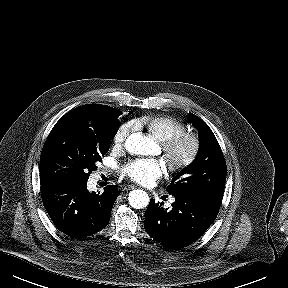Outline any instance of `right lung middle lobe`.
<instances>
[{
    "label": "right lung middle lobe",
    "mask_w": 288,
    "mask_h": 288,
    "mask_svg": "<svg viewBox=\"0 0 288 288\" xmlns=\"http://www.w3.org/2000/svg\"><path fill=\"white\" fill-rule=\"evenodd\" d=\"M132 113V112H130ZM121 111L103 105L89 118L65 114L51 130L41 152L40 184L85 183L108 152Z\"/></svg>",
    "instance_id": "1"
}]
</instances>
